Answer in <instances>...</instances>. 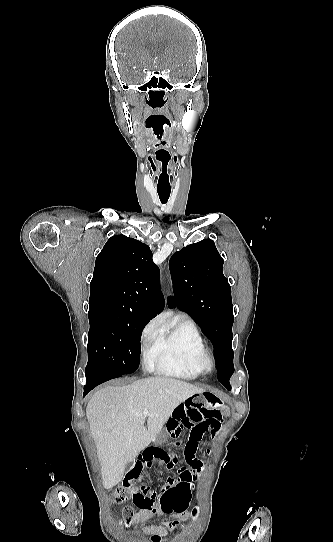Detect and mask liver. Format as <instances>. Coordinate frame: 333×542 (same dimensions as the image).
Instances as JSON below:
<instances>
[{
    "label": "liver",
    "mask_w": 333,
    "mask_h": 542,
    "mask_svg": "<svg viewBox=\"0 0 333 542\" xmlns=\"http://www.w3.org/2000/svg\"><path fill=\"white\" fill-rule=\"evenodd\" d=\"M202 392L203 388L172 376L144 378L129 386H108L96 392L87 404L86 416L101 466L103 488L117 486L126 464L134 462L139 452L157 438L173 410ZM144 410H148V416Z\"/></svg>",
    "instance_id": "6515ba94"
}]
</instances>
